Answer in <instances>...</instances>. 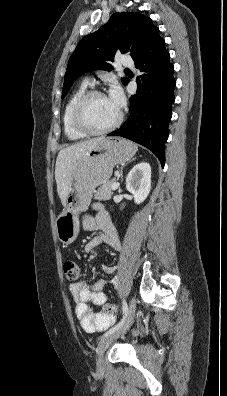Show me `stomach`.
Listing matches in <instances>:
<instances>
[{
	"instance_id": "0dacf381",
	"label": "stomach",
	"mask_w": 227,
	"mask_h": 396,
	"mask_svg": "<svg viewBox=\"0 0 227 396\" xmlns=\"http://www.w3.org/2000/svg\"><path fill=\"white\" fill-rule=\"evenodd\" d=\"M136 151V145L128 140L105 138L76 162L64 210L56 219V234L60 242L70 244L77 238L78 214L87 209L96 187L107 183L114 166L130 161Z\"/></svg>"
}]
</instances>
